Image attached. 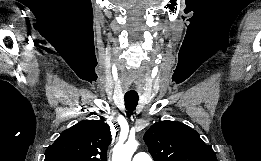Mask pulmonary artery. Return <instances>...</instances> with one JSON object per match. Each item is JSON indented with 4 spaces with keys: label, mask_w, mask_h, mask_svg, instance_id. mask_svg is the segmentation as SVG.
Returning a JSON list of instances; mask_svg holds the SVG:
<instances>
[{
    "label": "pulmonary artery",
    "mask_w": 261,
    "mask_h": 161,
    "mask_svg": "<svg viewBox=\"0 0 261 161\" xmlns=\"http://www.w3.org/2000/svg\"><path fill=\"white\" fill-rule=\"evenodd\" d=\"M132 161H153L152 157L145 152H137Z\"/></svg>",
    "instance_id": "obj_1"
}]
</instances>
